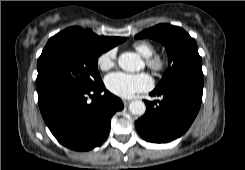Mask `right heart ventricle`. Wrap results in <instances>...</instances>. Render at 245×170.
<instances>
[{"mask_svg": "<svg viewBox=\"0 0 245 170\" xmlns=\"http://www.w3.org/2000/svg\"><path fill=\"white\" fill-rule=\"evenodd\" d=\"M133 48L144 58H149L155 53V46L148 41H138L133 44Z\"/></svg>", "mask_w": 245, "mask_h": 170, "instance_id": "e07e8e85", "label": "right heart ventricle"}]
</instances>
